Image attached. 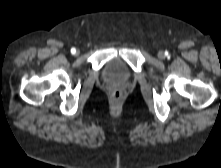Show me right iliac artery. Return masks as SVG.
Wrapping results in <instances>:
<instances>
[{"label": "right iliac artery", "mask_w": 221, "mask_h": 168, "mask_svg": "<svg viewBox=\"0 0 221 168\" xmlns=\"http://www.w3.org/2000/svg\"><path fill=\"white\" fill-rule=\"evenodd\" d=\"M75 52H76V49H75V48H72V49H71V53L74 54Z\"/></svg>", "instance_id": "right-iliac-artery-1"}]
</instances>
